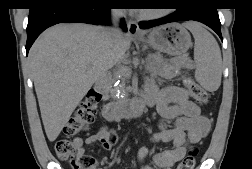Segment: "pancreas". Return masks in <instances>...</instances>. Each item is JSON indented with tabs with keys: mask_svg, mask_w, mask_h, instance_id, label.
I'll return each mask as SVG.
<instances>
[{
	"mask_svg": "<svg viewBox=\"0 0 252 169\" xmlns=\"http://www.w3.org/2000/svg\"><path fill=\"white\" fill-rule=\"evenodd\" d=\"M148 71L154 76H160L165 79H172L180 74L181 68L189 67L187 62L179 61L176 59L164 60L160 55L152 56L146 64ZM118 75H126L124 71H122V67L116 72ZM130 89L126 88L125 91L122 92L124 98H116L117 103L127 102L129 97Z\"/></svg>",
	"mask_w": 252,
	"mask_h": 169,
	"instance_id": "obj_1",
	"label": "pancreas"
}]
</instances>
